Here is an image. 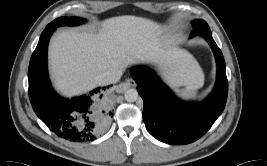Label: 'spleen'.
Returning a JSON list of instances; mask_svg holds the SVG:
<instances>
[{
	"instance_id": "1",
	"label": "spleen",
	"mask_w": 267,
	"mask_h": 166,
	"mask_svg": "<svg viewBox=\"0 0 267 166\" xmlns=\"http://www.w3.org/2000/svg\"><path fill=\"white\" fill-rule=\"evenodd\" d=\"M196 91H197V87L190 86V87H187L186 89L182 90L180 93L185 98H194L197 95Z\"/></svg>"
}]
</instances>
